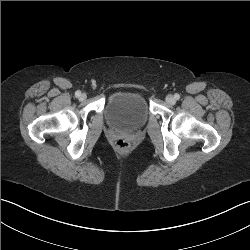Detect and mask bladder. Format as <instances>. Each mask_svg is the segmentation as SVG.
<instances>
[{
    "label": "bladder",
    "mask_w": 250,
    "mask_h": 250,
    "mask_svg": "<svg viewBox=\"0 0 250 250\" xmlns=\"http://www.w3.org/2000/svg\"><path fill=\"white\" fill-rule=\"evenodd\" d=\"M149 109L144 97L134 92H116L106 104L108 123L123 131H133L141 128L147 122Z\"/></svg>",
    "instance_id": "bladder-1"
}]
</instances>
